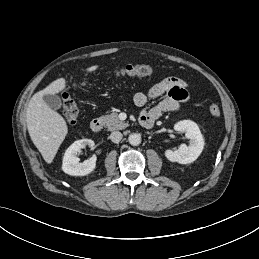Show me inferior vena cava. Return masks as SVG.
Returning <instances> with one entry per match:
<instances>
[{"instance_id":"1","label":"inferior vena cava","mask_w":259,"mask_h":259,"mask_svg":"<svg viewBox=\"0 0 259 259\" xmlns=\"http://www.w3.org/2000/svg\"><path fill=\"white\" fill-rule=\"evenodd\" d=\"M122 136H123V135H122L121 132H119V131H114V132H112V133L110 134V139H111L112 142L118 143V142L121 141Z\"/></svg>"}]
</instances>
